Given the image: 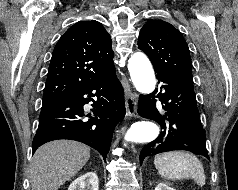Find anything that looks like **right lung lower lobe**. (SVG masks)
Masks as SVG:
<instances>
[{
    "label": "right lung lower lobe",
    "mask_w": 238,
    "mask_h": 190,
    "mask_svg": "<svg viewBox=\"0 0 238 190\" xmlns=\"http://www.w3.org/2000/svg\"><path fill=\"white\" fill-rule=\"evenodd\" d=\"M85 94L91 97L84 98ZM94 96L97 100L92 98ZM91 101L94 117L86 115L83 109V105ZM124 115V93L114 70L85 84L64 99L42 106L38 130L32 143L33 152L52 140L73 139L98 150L105 160L115 125Z\"/></svg>",
    "instance_id": "98d812e1"
}]
</instances>
